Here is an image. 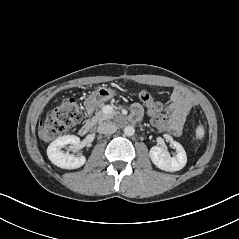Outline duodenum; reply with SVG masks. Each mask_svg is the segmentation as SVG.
I'll use <instances>...</instances> for the list:
<instances>
[{
	"label": "duodenum",
	"mask_w": 239,
	"mask_h": 239,
	"mask_svg": "<svg viewBox=\"0 0 239 239\" xmlns=\"http://www.w3.org/2000/svg\"><path fill=\"white\" fill-rule=\"evenodd\" d=\"M92 128H93V123L90 120H87L79 128V134L82 136L87 135Z\"/></svg>",
	"instance_id": "1"
}]
</instances>
